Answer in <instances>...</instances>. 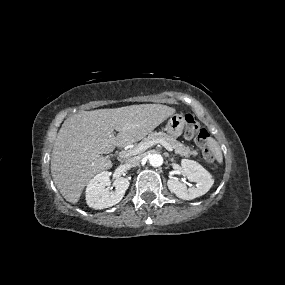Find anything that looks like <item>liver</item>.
<instances>
[{"instance_id":"1","label":"liver","mask_w":285,"mask_h":285,"mask_svg":"<svg viewBox=\"0 0 285 285\" xmlns=\"http://www.w3.org/2000/svg\"><path fill=\"white\" fill-rule=\"evenodd\" d=\"M174 113L166 105L139 104L68 117L55 140L50 167L62 196L76 204L90 179L112 167L111 160L101 154L140 141Z\"/></svg>"}]
</instances>
